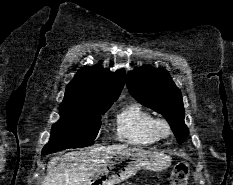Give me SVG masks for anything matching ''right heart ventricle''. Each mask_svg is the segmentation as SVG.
<instances>
[{"label": "right heart ventricle", "mask_w": 233, "mask_h": 185, "mask_svg": "<svg viewBox=\"0 0 233 185\" xmlns=\"http://www.w3.org/2000/svg\"><path fill=\"white\" fill-rule=\"evenodd\" d=\"M155 116L141 104L133 102L123 107L115 117L120 140L136 146H148L159 141L154 130Z\"/></svg>", "instance_id": "obj_1"}]
</instances>
